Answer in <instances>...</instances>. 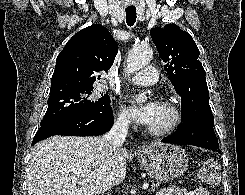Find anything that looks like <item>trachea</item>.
Masks as SVG:
<instances>
[{
	"label": "trachea",
	"mask_w": 245,
	"mask_h": 195,
	"mask_svg": "<svg viewBox=\"0 0 245 195\" xmlns=\"http://www.w3.org/2000/svg\"><path fill=\"white\" fill-rule=\"evenodd\" d=\"M126 11V22L128 26H133L136 22V8L135 7H127Z\"/></svg>",
	"instance_id": "obj_1"
}]
</instances>
